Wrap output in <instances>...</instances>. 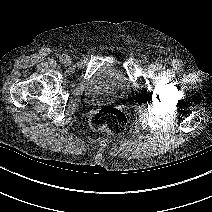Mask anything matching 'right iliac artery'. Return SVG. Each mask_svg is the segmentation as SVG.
Returning <instances> with one entry per match:
<instances>
[{
  "label": "right iliac artery",
  "instance_id": "right-iliac-artery-1",
  "mask_svg": "<svg viewBox=\"0 0 212 212\" xmlns=\"http://www.w3.org/2000/svg\"><path fill=\"white\" fill-rule=\"evenodd\" d=\"M65 58H66V55H65V54H62V55L60 56V60H61L62 62L65 60Z\"/></svg>",
  "mask_w": 212,
  "mask_h": 212
}]
</instances>
